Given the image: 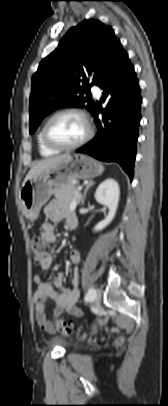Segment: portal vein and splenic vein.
<instances>
[{"instance_id":"obj_1","label":"portal vein and splenic vein","mask_w":168,"mask_h":406,"mask_svg":"<svg viewBox=\"0 0 168 406\" xmlns=\"http://www.w3.org/2000/svg\"><path fill=\"white\" fill-rule=\"evenodd\" d=\"M77 197H79V195H77ZM77 203H78V199L74 200V201L71 203V205H70V210H71V211H73V210L76 209Z\"/></svg>"}]
</instances>
